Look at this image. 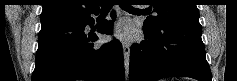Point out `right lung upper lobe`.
<instances>
[{
	"label": "right lung upper lobe",
	"mask_w": 237,
	"mask_h": 81,
	"mask_svg": "<svg viewBox=\"0 0 237 81\" xmlns=\"http://www.w3.org/2000/svg\"><path fill=\"white\" fill-rule=\"evenodd\" d=\"M41 23L80 15L96 7L92 0H44Z\"/></svg>",
	"instance_id": "obj_1"
}]
</instances>
